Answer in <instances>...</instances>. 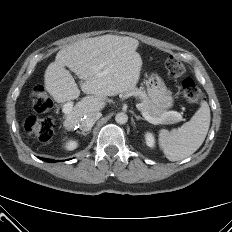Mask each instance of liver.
<instances>
[{
	"mask_svg": "<svg viewBox=\"0 0 232 232\" xmlns=\"http://www.w3.org/2000/svg\"><path fill=\"white\" fill-rule=\"evenodd\" d=\"M138 45L134 38L106 34L80 40L57 53L44 74L46 91L57 103L79 97L80 90L67 66L83 80L80 87L87 94L65 113L66 130L76 128L85 115L101 111L108 96L135 88L142 67Z\"/></svg>",
	"mask_w": 232,
	"mask_h": 232,
	"instance_id": "obj_1",
	"label": "liver"
}]
</instances>
